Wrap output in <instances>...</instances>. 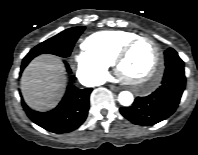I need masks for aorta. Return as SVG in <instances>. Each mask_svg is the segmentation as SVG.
Masks as SVG:
<instances>
[{"label":"aorta","mask_w":198,"mask_h":155,"mask_svg":"<svg viewBox=\"0 0 198 155\" xmlns=\"http://www.w3.org/2000/svg\"><path fill=\"white\" fill-rule=\"evenodd\" d=\"M118 100H119L121 105L130 106L134 101V97H133L131 92L122 91V92L119 93Z\"/></svg>","instance_id":"1"}]
</instances>
